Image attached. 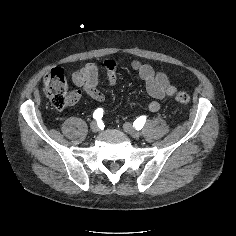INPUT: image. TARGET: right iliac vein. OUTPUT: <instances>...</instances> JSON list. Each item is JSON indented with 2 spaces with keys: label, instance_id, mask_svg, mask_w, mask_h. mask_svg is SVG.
<instances>
[{
  "label": "right iliac vein",
  "instance_id": "obj_1",
  "mask_svg": "<svg viewBox=\"0 0 236 236\" xmlns=\"http://www.w3.org/2000/svg\"><path fill=\"white\" fill-rule=\"evenodd\" d=\"M90 128H91L92 132H94V133L99 132V126L96 122H92L90 124Z\"/></svg>",
  "mask_w": 236,
  "mask_h": 236
}]
</instances>
